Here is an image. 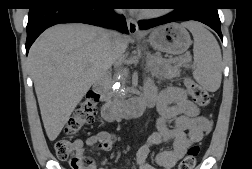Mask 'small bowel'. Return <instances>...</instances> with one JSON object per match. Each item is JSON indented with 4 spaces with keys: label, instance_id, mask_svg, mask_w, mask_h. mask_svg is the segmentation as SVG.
<instances>
[{
    "label": "small bowel",
    "instance_id": "c3829d8e",
    "mask_svg": "<svg viewBox=\"0 0 252 169\" xmlns=\"http://www.w3.org/2000/svg\"><path fill=\"white\" fill-rule=\"evenodd\" d=\"M143 96L152 97L156 102L159 117L156 122L157 131L151 134L147 142L136 154L138 169H155L146 163L152 147L162 142H170L171 150L160 151L155 155L156 164L162 169H172L194 144L200 142L211 129L209 120L200 115L198 107L188 99L185 90L170 87L161 92L153 84H148ZM174 120L173 128L168 126ZM113 135L105 130L89 136L87 146L93 151H109L113 147ZM81 154L90 159L86 169H97L95 160L82 149ZM107 169V168H99Z\"/></svg>",
    "mask_w": 252,
    "mask_h": 169
}]
</instances>
